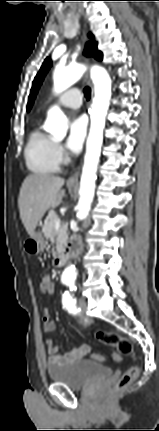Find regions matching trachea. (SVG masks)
I'll use <instances>...</instances> for the list:
<instances>
[{"label": "trachea", "mask_w": 159, "mask_h": 431, "mask_svg": "<svg viewBox=\"0 0 159 431\" xmlns=\"http://www.w3.org/2000/svg\"><path fill=\"white\" fill-rule=\"evenodd\" d=\"M84 96H85V98H86L87 100H89V99H90V96H91V89H90L89 87H85V88H84Z\"/></svg>", "instance_id": "3493384b"}]
</instances>
